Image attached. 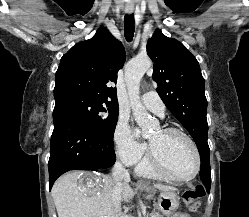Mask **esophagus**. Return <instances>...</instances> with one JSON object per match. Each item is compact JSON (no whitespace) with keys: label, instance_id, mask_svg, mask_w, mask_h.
<instances>
[{"label":"esophagus","instance_id":"34e87169","mask_svg":"<svg viewBox=\"0 0 249 217\" xmlns=\"http://www.w3.org/2000/svg\"><path fill=\"white\" fill-rule=\"evenodd\" d=\"M133 11H134V8H133V7H126V9H125V12H126L127 14H132ZM138 184H139V185H142V184H144V183H143V181H138Z\"/></svg>","mask_w":249,"mask_h":217}]
</instances>
